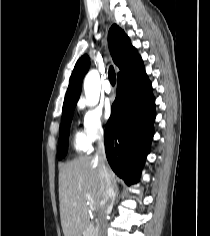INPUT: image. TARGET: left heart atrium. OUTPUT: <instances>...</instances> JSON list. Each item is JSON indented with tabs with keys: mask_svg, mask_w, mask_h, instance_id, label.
<instances>
[{
	"mask_svg": "<svg viewBox=\"0 0 210 236\" xmlns=\"http://www.w3.org/2000/svg\"><path fill=\"white\" fill-rule=\"evenodd\" d=\"M112 114V108H111V104L109 102H107L105 104V108H104V115H105V118L108 119L110 118Z\"/></svg>",
	"mask_w": 210,
	"mask_h": 236,
	"instance_id": "left-heart-atrium-1",
	"label": "left heart atrium"
}]
</instances>
